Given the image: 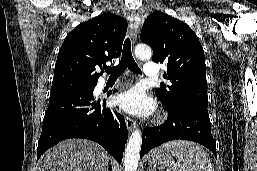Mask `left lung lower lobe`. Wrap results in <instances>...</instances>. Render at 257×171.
<instances>
[{"label": "left lung lower lobe", "instance_id": "left-lung-lower-lobe-1", "mask_svg": "<svg viewBox=\"0 0 257 171\" xmlns=\"http://www.w3.org/2000/svg\"><path fill=\"white\" fill-rule=\"evenodd\" d=\"M163 105L169 117L161 126L145 128L140 157L152 148L176 139L200 143L216 155V142L211 134L206 105L193 102H180L172 106Z\"/></svg>", "mask_w": 257, "mask_h": 171}]
</instances>
